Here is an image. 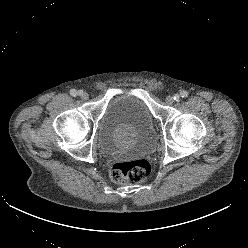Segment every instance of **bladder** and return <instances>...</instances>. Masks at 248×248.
Returning <instances> with one entry per match:
<instances>
[{"label": "bladder", "mask_w": 248, "mask_h": 248, "mask_svg": "<svg viewBox=\"0 0 248 248\" xmlns=\"http://www.w3.org/2000/svg\"><path fill=\"white\" fill-rule=\"evenodd\" d=\"M98 138L110 154L149 153L156 143L152 115L134 95L113 96L100 118Z\"/></svg>", "instance_id": "obj_1"}]
</instances>
